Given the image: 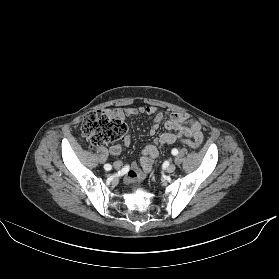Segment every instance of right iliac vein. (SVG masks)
<instances>
[{
    "instance_id": "right-iliac-vein-1",
    "label": "right iliac vein",
    "mask_w": 279,
    "mask_h": 279,
    "mask_svg": "<svg viewBox=\"0 0 279 279\" xmlns=\"http://www.w3.org/2000/svg\"><path fill=\"white\" fill-rule=\"evenodd\" d=\"M121 166H122L121 162H115V163H114V168H115V169H120Z\"/></svg>"
}]
</instances>
